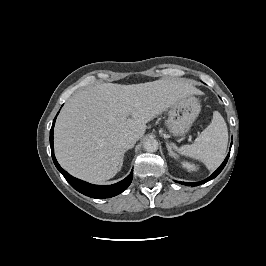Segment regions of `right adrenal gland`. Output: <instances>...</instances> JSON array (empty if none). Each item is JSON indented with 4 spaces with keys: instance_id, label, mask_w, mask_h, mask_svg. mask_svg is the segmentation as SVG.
Segmentation results:
<instances>
[{
    "instance_id": "right-adrenal-gland-1",
    "label": "right adrenal gland",
    "mask_w": 266,
    "mask_h": 266,
    "mask_svg": "<svg viewBox=\"0 0 266 266\" xmlns=\"http://www.w3.org/2000/svg\"><path fill=\"white\" fill-rule=\"evenodd\" d=\"M126 151H127V150H126ZM122 165H123V162H121V164H120V169H121Z\"/></svg>"
}]
</instances>
